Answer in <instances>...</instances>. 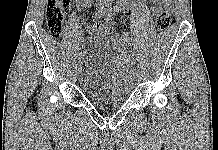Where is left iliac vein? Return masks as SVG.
Returning <instances> with one entry per match:
<instances>
[{"instance_id": "4c4485c4", "label": "left iliac vein", "mask_w": 218, "mask_h": 150, "mask_svg": "<svg viewBox=\"0 0 218 150\" xmlns=\"http://www.w3.org/2000/svg\"><path fill=\"white\" fill-rule=\"evenodd\" d=\"M130 78H135V73H130Z\"/></svg>"}]
</instances>
